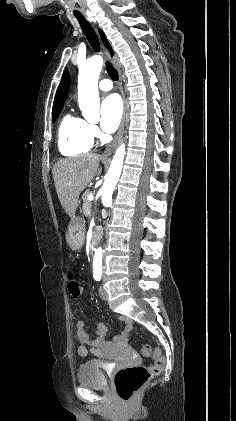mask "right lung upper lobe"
Segmentation results:
<instances>
[{"label": "right lung upper lobe", "instance_id": "cb5924a9", "mask_svg": "<svg viewBox=\"0 0 236 421\" xmlns=\"http://www.w3.org/2000/svg\"><path fill=\"white\" fill-rule=\"evenodd\" d=\"M99 34L101 36V39H102L103 43L105 44V46L109 49V51L112 54L111 45L108 42L105 34L103 33L102 30H99ZM69 85H70V81H69L68 71H65L63 76H62L59 87L57 89L56 95H55L54 104H53V111L58 110V109H62L64 101H65L67 93H68V90H69Z\"/></svg>", "mask_w": 236, "mask_h": 421}]
</instances>
